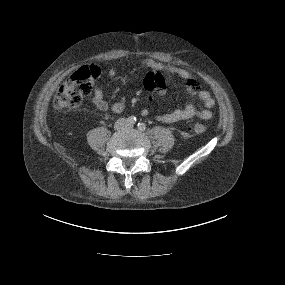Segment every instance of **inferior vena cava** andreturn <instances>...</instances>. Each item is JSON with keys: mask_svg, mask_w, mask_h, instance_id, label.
Here are the masks:
<instances>
[{"mask_svg": "<svg viewBox=\"0 0 285 285\" xmlns=\"http://www.w3.org/2000/svg\"><path fill=\"white\" fill-rule=\"evenodd\" d=\"M121 127H127V121L124 118L118 119L115 123L116 129H120Z\"/></svg>", "mask_w": 285, "mask_h": 285, "instance_id": "1", "label": "inferior vena cava"}]
</instances>
